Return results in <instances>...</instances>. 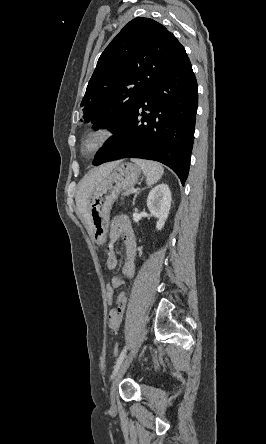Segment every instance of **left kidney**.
<instances>
[{"label":"left kidney","instance_id":"left-kidney-1","mask_svg":"<svg viewBox=\"0 0 266 444\" xmlns=\"http://www.w3.org/2000/svg\"><path fill=\"white\" fill-rule=\"evenodd\" d=\"M147 207L151 214L158 219L156 229L161 230L171 208V192L167 184H159L149 192Z\"/></svg>","mask_w":266,"mask_h":444}]
</instances>
